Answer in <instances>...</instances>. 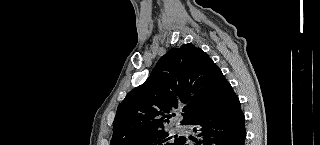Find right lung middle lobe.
I'll return each mask as SVG.
<instances>
[{"label": "right lung middle lobe", "instance_id": "right-lung-middle-lobe-1", "mask_svg": "<svg viewBox=\"0 0 320 145\" xmlns=\"http://www.w3.org/2000/svg\"><path fill=\"white\" fill-rule=\"evenodd\" d=\"M181 138V136L178 137L177 135L169 136V134L162 129L144 136L132 145H179Z\"/></svg>", "mask_w": 320, "mask_h": 145}]
</instances>
